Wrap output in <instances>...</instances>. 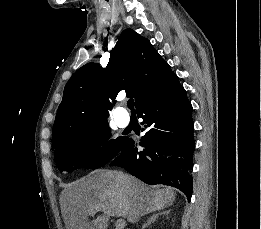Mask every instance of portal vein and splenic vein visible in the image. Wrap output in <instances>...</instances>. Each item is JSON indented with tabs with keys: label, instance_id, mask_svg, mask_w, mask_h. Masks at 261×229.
Segmentation results:
<instances>
[{
	"label": "portal vein and splenic vein",
	"instance_id": "1",
	"mask_svg": "<svg viewBox=\"0 0 261 229\" xmlns=\"http://www.w3.org/2000/svg\"><path fill=\"white\" fill-rule=\"evenodd\" d=\"M126 223L124 221V219H118L117 223H116V229H124Z\"/></svg>",
	"mask_w": 261,
	"mask_h": 229
}]
</instances>
